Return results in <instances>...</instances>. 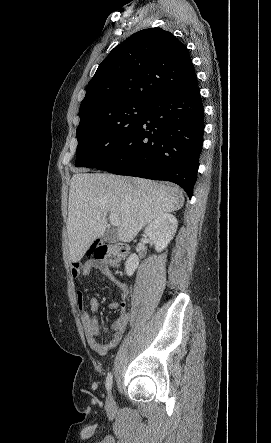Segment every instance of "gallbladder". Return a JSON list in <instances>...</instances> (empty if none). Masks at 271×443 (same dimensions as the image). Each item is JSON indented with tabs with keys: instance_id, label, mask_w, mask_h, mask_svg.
Masks as SVG:
<instances>
[{
	"instance_id": "obj_1",
	"label": "gallbladder",
	"mask_w": 271,
	"mask_h": 443,
	"mask_svg": "<svg viewBox=\"0 0 271 443\" xmlns=\"http://www.w3.org/2000/svg\"><path fill=\"white\" fill-rule=\"evenodd\" d=\"M117 239V231H112V229H108V231H105L103 235V241H108V243H115Z\"/></svg>"
}]
</instances>
